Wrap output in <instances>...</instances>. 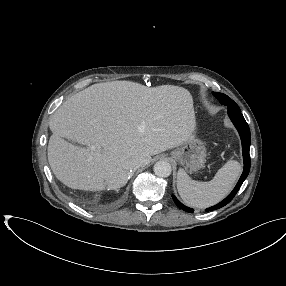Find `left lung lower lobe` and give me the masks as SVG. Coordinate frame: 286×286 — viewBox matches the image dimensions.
<instances>
[{
    "label": "left lung lower lobe",
    "mask_w": 286,
    "mask_h": 286,
    "mask_svg": "<svg viewBox=\"0 0 286 286\" xmlns=\"http://www.w3.org/2000/svg\"><path fill=\"white\" fill-rule=\"evenodd\" d=\"M228 115L230 117V119L232 120L233 124L235 125V127L237 128L241 140H242V150H243V160H244V170L243 173L237 183V185L235 186V188L233 189V191L220 203L207 208L205 211H213L216 209H219L223 206H225L226 204H228L233 197L236 195V193L238 192V190L240 189L242 183L244 182V180L246 179V177L249 174L250 171V155H249V149H250V141H251V136H250V129L248 127L247 122L245 121L243 115L241 114V112H235V111H228ZM175 204L182 210L186 211V212H193L194 210L183 205L181 202H179L177 200V198L175 196H172Z\"/></svg>",
    "instance_id": "obj_1"
}]
</instances>
